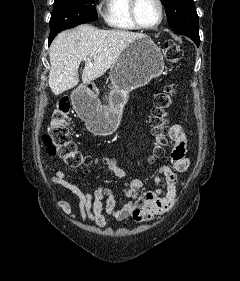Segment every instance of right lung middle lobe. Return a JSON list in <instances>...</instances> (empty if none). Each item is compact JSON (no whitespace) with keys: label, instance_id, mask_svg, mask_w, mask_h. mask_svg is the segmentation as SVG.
<instances>
[{"label":"right lung middle lobe","instance_id":"dd1d6c3e","mask_svg":"<svg viewBox=\"0 0 240 281\" xmlns=\"http://www.w3.org/2000/svg\"><path fill=\"white\" fill-rule=\"evenodd\" d=\"M97 12L94 0H54L50 18L49 43L62 30L95 21Z\"/></svg>","mask_w":240,"mask_h":281}]
</instances>
